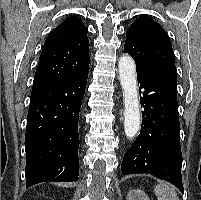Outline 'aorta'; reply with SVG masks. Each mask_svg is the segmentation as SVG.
<instances>
[{
	"mask_svg": "<svg viewBox=\"0 0 201 200\" xmlns=\"http://www.w3.org/2000/svg\"><path fill=\"white\" fill-rule=\"evenodd\" d=\"M119 78L124 97V128L128 138H133L140 127L139 96L136 79V66L129 55L120 57L118 62Z\"/></svg>",
	"mask_w": 201,
	"mask_h": 200,
	"instance_id": "obj_1",
	"label": "aorta"
}]
</instances>
